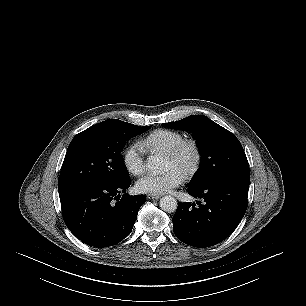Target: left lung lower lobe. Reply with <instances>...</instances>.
<instances>
[{"instance_id": "1", "label": "left lung lower lobe", "mask_w": 306, "mask_h": 306, "mask_svg": "<svg viewBox=\"0 0 306 306\" xmlns=\"http://www.w3.org/2000/svg\"><path fill=\"white\" fill-rule=\"evenodd\" d=\"M250 177H225L189 187L204 203H179L172 219L178 239L194 247H209L226 239L247 209Z\"/></svg>"}]
</instances>
